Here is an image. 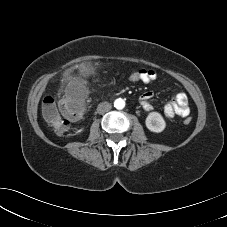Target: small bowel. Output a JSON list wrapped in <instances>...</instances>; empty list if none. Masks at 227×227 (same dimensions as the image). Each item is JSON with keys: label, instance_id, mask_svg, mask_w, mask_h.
Returning <instances> with one entry per match:
<instances>
[{"label": "small bowel", "instance_id": "c3829d8e", "mask_svg": "<svg viewBox=\"0 0 227 227\" xmlns=\"http://www.w3.org/2000/svg\"><path fill=\"white\" fill-rule=\"evenodd\" d=\"M142 72L143 78L142 81L143 83H151L154 80L157 79L158 73L156 70L153 69H139ZM153 97L152 92H145L142 94L140 97V104L143 107L145 111H152L153 107L150 103L151 99ZM164 115L168 119L174 118L176 115L182 116L184 113H189V104H188V98L185 93L183 92H178L176 93L172 100L168 101L164 108Z\"/></svg>", "mask_w": 227, "mask_h": 227}]
</instances>
